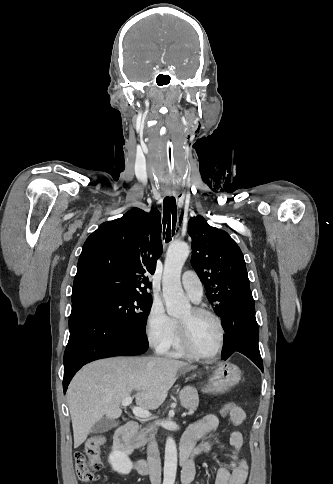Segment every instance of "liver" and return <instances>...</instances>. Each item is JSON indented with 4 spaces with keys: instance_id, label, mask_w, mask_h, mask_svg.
<instances>
[{
    "instance_id": "liver-1",
    "label": "liver",
    "mask_w": 333,
    "mask_h": 484,
    "mask_svg": "<svg viewBox=\"0 0 333 484\" xmlns=\"http://www.w3.org/2000/svg\"><path fill=\"white\" fill-rule=\"evenodd\" d=\"M196 366L160 357H116L98 360L83 367L67 390L74 448H78L93 425L106 416L119 418L120 403L136 391L135 402L143 409H157L177 380L179 371Z\"/></svg>"
}]
</instances>
